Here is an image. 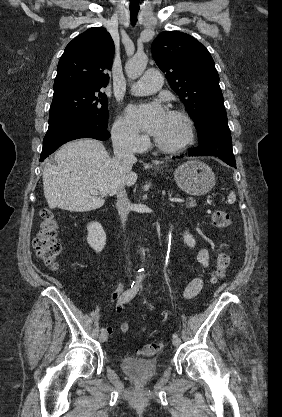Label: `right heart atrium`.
I'll return each mask as SVG.
<instances>
[{"label":"right heart atrium","mask_w":282,"mask_h":417,"mask_svg":"<svg viewBox=\"0 0 282 417\" xmlns=\"http://www.w3.org/2000/svg\"><path fill=\"white\" fill-rule=\"evenodd\" d=\"M114 146L120 151L136 153L143 149L145 137L133 130L125 119L118 118L112 129Z\"/></svg>","instance_id":"1"}]
</instances>
